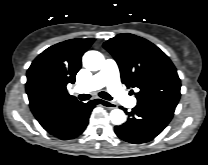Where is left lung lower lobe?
Listing matches in <instances>:
<instances>
[{
	"mask_svg": "<svg viewBox=\"0 0 208 165\" xmlns=\"http://www.w3.org/2000/svg\"><path fill=\"white\" fill-rule=\"evenodd\" d=\"M128 115L127 121L115 127L116 135L129 143H146L159 135L174 115L175 108L170 106L136 105Z\"/></svg>",
	"mask_w": 208,
	"mask_h": 165,
	"instance_id": "obj_1",
	"label": "left lung lower lobe"
}]
</instances>
